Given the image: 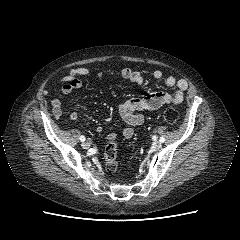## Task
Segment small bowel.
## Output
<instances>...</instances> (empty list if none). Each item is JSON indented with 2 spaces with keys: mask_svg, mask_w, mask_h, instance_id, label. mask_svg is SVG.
Wrapping results in <instances>:
<instances>
[{
  "mask_svg": "<svg viewBox=\"0 0 240 240\" xmlns=\"http://www.w3.org/2000/svg\"><path fill=\"white\" fill-rule=\"evenodd\" d=\"M91 74L90 70L85 67H77L70 69L64 76H62L58 82L62 83L61 94L68 95L81 88L82 83L80 78L88 77ZM98 77L105 76L103 72H99ZM153 77L157 80L163 78V73L160 70L153 72ZM123 79L128 80L134 84L141 85L144 81L143 75L131 68H124L121 71ZM165 84L170 88H175V92L167 93L162 91L152 92L144 97L131 98L123 101L118 106V111L124 122L127 124L122 129V135L125 138H131L134 134L133 127L141 126L144 123V116L140 113L142 111H154L161 108L163 105L171 104L174 106L180 105L184 100V93L188 88V83L184 79H177L174 76H168L165 78ZM52 112L54 116H62L61 101L58 98L51 99ZM72 121H77L79 115L76 112H72L69 115ZM97 132L103 131V126L98 125L96 127ZM108 140H115L116 134L110 133L107 136Z\"/></svg>",
  "mask_w": 240,
  "mask_h": 240,
  "instance_id": "small-bowel-1",
  "label": "small bowel"
}]
</instances>
